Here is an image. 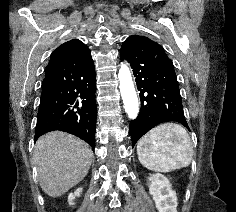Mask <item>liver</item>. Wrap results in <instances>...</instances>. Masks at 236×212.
I'll return each instance as SVG.
<instances>
[{
  "instance_id": "1",
  "label": "liver",
  "mask_w": 236,
  "mask_h": 212,
  "mask_svg": "<svg viewBox=\"0 0 236 212\" xmlns=\"http://www.w3.org/2000/svg\"><path fill=\"white\" fill-rule=\"evenodd\" d=\"M94 154L81 139L53 131L40 137L34 147L40 187L50 197H59L87 175Z\"/></svg>"
}]
</instances>
